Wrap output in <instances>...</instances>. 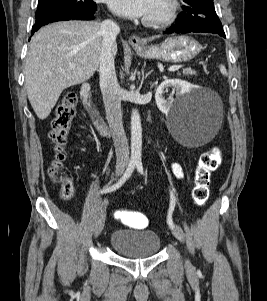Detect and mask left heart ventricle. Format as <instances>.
Here are the masks:
<instances>
[{"label":"left heart ventricle","instance_id":"obj_1","mask_svg":"<svg viewBox=\"0 0 267 301\" xmlns=\"http://www.w3.org/2000/svg\"><path fill=\"white\" fill-rule=\"evenodd\" d=\"M163 8L164 5L162 2H160V0H152L150 11L146 17L151 18L158 15L163 10Z\"/></svg>","mask_w":267,"mask_h":301}]
</instances>
